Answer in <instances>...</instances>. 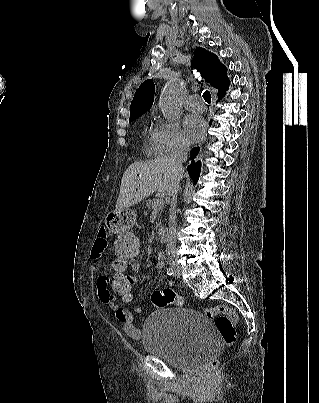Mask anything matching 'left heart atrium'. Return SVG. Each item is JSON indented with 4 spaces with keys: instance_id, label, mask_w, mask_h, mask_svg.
<instances>
[{
    "instance_id": "39dd6f15",
    "label": "left heart atrium",
    "mask_w": 319,
    "mask_h": 403,
    "mask_svg": "<svg viewBox=\"0 0 319 403\" xmlns=\"http://www.w3.org/2000/svg\"><path fill=\"white\" fill-rule=\"evenodd\" d=\"M184 133L190 142L199 141L205 133V122L198 115H188L184 120Z\"/></svg>"
}]
</instances>
